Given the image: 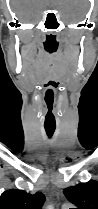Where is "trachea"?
Here are the masks:
<instances>
[{
    "label": "trachea",
    "mask_w": 98,
    "mask_h": 209,
    "mask_svg": "<svg viewBox=\"0 0 98 209\" xmlns=\"http://www.w3.org/2000/svg\"><path fill=\"white\" fill-rule=\"evenodd\" d=\"M45 130H46L48 137H52V135L55 131V127H45Z\"/></svg>",
    "instance_id": "obj_1"
}]
</instances>
